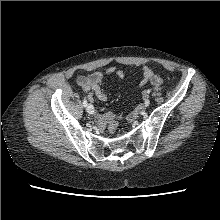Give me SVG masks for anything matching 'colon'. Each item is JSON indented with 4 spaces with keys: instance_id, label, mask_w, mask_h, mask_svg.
<instances>
[{
    "instance_id": "5ec220e1",
    "label": "colon",
    "mask_w": 220,
    "mask_h": 220,
    "mask_svg": "<svg viewBox=\"0 0 220 220\" xmlns=\"http://www.w3.org/2000/svg\"><path fill=\"white\" fill-rule=\"evenodd\" d=\"M105 121H106V124H107V131L110 134H115L117 129H118L117 117L112 113H108L105 116Z\"/></svg>"
}]
</instances>
